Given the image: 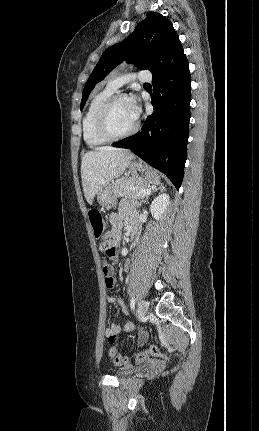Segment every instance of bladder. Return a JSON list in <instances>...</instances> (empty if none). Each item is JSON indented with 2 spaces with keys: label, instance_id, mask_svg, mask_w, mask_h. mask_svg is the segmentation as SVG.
Listing matches in <instances>:
<instances>
[{
  "label": "bladder",
  "instance_id": "obj_1",
  "mask_svg": "<svg viewBox=\"0 0 259 431\" xmlns=\"http://www.w3.org/2000/svg\"><path fill=\"white\" fill-rule=\"evenodd\" d=\"M137 370H138V368H126V369H122V370L117 371L115 373V376L117 378H124V377H127V376H130V375L134 374Z\"/></svg>",
  "mask_w": 259,
  "mask_h": 431
}]
</instances>
